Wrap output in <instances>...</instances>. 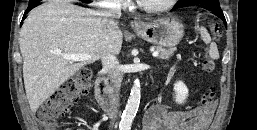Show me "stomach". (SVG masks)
<instances>
[{"mask_svg": "<svg viewBox=\"0 0 257 130\" xmlns=\"http://www.w3.org/2000/svg\"><path fill=\"white\" fill-rule=\"evenodd\" d=\"M134 31L149 43L174 47L184 36V25L177 18L169 16L143 23Z\"/></svg>", "mask_w": 257, "mask_h": 130, "instance_id": "stomach-1", "label": "stomach"}]
</instances>
